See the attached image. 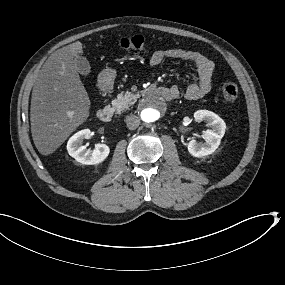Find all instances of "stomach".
Masks as SVG:
<instances>
[{
    "label": "stomach",
    "instance_id": "stomach-1",
    "mask_svg": "<svg viewBox=\"0 0 285 285\" xmlns=\"http://www.w3.org/2000/svg\"><path fill=\"white\" fill-rule=\"evenodd\" d=\"M104 78L102 79L103 83L106 84L108 81H113L115 74L112 72L111 74H109V76H107V73H104ZM99 79H101V77H99Z\"/></svg>",
    "mask_w": 285,
    "mask_h": 285
}]
</instances>
